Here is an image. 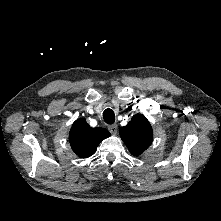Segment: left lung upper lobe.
I'll use <instances>...</instances> for the list:
<instances>
[{
	"mask_svg": "<svg viewBox=\"0 0 221 221\" xmlns=\"http://www.w3.org/2000/svg\"><path fill=\"white\" fill-rule=\"evenodd\" d=\"M120 136L131 154H142L152 143L153 132L149 121L142 114H136L124 127Z\"/></svg>",
	"mask_w": 221,
	"mask_h": 221,
	"instance_id": "1",
	"label": "left lung upper lobe"
}]
</instances>
